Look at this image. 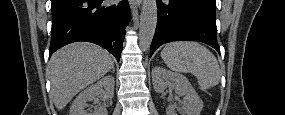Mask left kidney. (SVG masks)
I'll return each instance as SVG.
<instances>
[{
  "label": "left kidney",
  "mask_w": 285,
  "mask_h": 115,
  "mask_svg": "<svg viewBox=\"0 0 285 115\" xmlns=\"http://www.w3.org/2000/svg\"><path fill=\"white\" fill-rule=\"evenodd\" d=\"M152 82L155 91L158 93L163 92L171 85L178 95L184 96L182 106L186 115H200L203 102L184 75L171 72L162 67H154L152 69ZM166 113L167 115H176L175 107L168 106Z\"/></svg>",
  "instance_id": "1"
}]
</instances>
